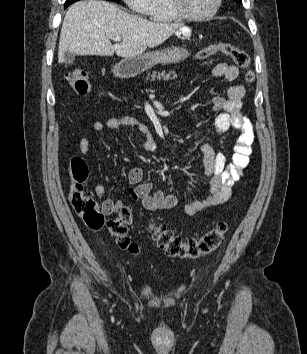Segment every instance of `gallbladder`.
<instances>
[{
	"mask_svg": "<svg viewBox=\"0 0 307 354\" xmlns=\"http://www.w3.org/2000/svg\"><path fill=\"white\" fill-rule=\"evenodd\" d=\"M75 60V54L72 52H66L63 56V62L66 64H72Z\"/></svg>",
	"mask_w": 307,
	"mask_h": 354,
	"instance_id": "1",
	"label": "gallbladder"
}]
</instances>
